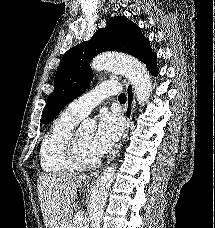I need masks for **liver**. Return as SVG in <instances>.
<instances>
[{
    "label": "liver",
    "mask_w": 215,
    "mask_h": 228,
    "mask_svg": "<svg viewBox=\"0 0 215 228\" xmlns=\"http://www.w3.org/2000/svg\"><path fill=\"white\" fill-rule=\"evenodd\" d=\"M86 176L81 174H42L37 180L38 198L46 228H72L75 190Z\"/></svg>",
    "instance_id": "1"
}]
</instances>
